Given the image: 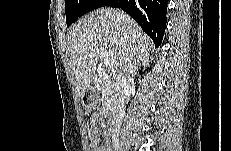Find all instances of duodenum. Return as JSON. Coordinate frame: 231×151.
Wrapping results in <instances>:
<instances>
[{
  "mask_svg": "<svg viewBox=\"0 0 231 151\" xmlns=\"http://www.w3.org/2000/svg\"><path fill=\"white\" fill-rule=\"evenodd\" d=\"M87 102H88V104H91V98L90 97H89ZM106 116H107L108 121L111 124H113L118 119L119 113H118L117 110L111 109V110L108 111ZM108 141H109V144H110V137L109 136H108Z\"/></svg>",
  "mask_w": 231,
  "mask_h": 151,
  "instance_id": "410a0bca",
  "label": "duodenum"
}]
</instances>
